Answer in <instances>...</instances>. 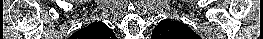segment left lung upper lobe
<instances>
[{
    "label": "left lung upper lobe",
    "mask_w": 263,
    "mask_h": 39,
    "mask_svg": "<svg viewBox=\"0 0 263 39\" xmlns=\"http://www.w3.org/2000/svg\"><path fill=\"white\" fill-rule=\"evenodd\" d=\"M151 39H201L182 22L164 19L154 28Z\"/></svg>",
    "instance_id": "obj_1"
}]
</instances>
